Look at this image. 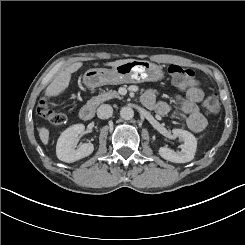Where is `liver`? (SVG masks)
I'll list each match as a JSON object with an SVG mask.
<instances>
[{"label": "liver", "mask_w": 245, "mask_h": 245, "mask_svg": "<svg viewBox=\"0 0 245 245\" xmlns=\"http://www.w3.org/2000/svg\"><path fill=\"white\" fill-rule=\"evenodd\" d=\"M137 59H120L111 62L101 63V67H111L115 68L118 65H121L126 62L136 61ZM83 62L77 61L71 63L69 66L65 68V70L61 71L53 81L46 87L44 90V96L46 98H54L59 97L65 93L70 83V74L76 73L82 66ZM37 132L40 141L44 146H47L49 143V134L50 130L47 127H37Z\"/></svg>", "instance_id": "1"}]
</instances>
